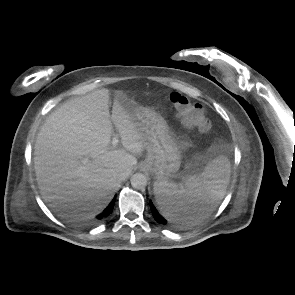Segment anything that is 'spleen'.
I'll use <instances>...</instances> for the list:
<instances>
[{"mask_svg": "<svg viewBox=\"0 0 295 295\" xmlns=\"http://www.w3.org/2000/svg\"><path fill=\"white\" fill-rule=\"evenodd\" d=\"M231 167L224 157L210 161L201 174L190 176L183 185L167 180L154 183L157 205L162 215L172 222L197 224L205 215L191 216L196 203L214 204L220 201L230 179Z\"/></svg>", "mask_w": 295, "mask_h": 295, "instance_id": "1", "label": "spleen"}]
</instances>
